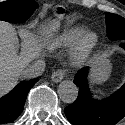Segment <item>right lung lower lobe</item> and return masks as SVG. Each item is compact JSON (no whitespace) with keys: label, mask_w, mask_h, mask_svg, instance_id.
<instances>
[{"label":"right lung lower lobe","mask_w":125,"mask_h":125,"mask_svg":"<svg viewBox=\"0 0 125 125\" xmlns=\"http://www.w3.org/2000/svg\"><path fill=\"white\" fill-rule=\"evenodd\" d=\"M37 81H23L0 98V124L11 123L22 113L28 92Z\"/></svg>","instance_id":"obj_1"}]
</instances>
